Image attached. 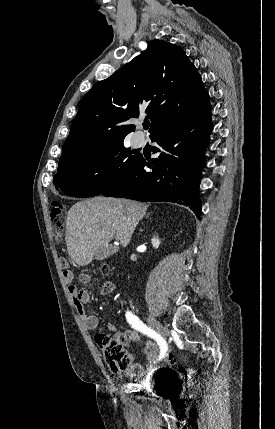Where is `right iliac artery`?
Instances as JSON below:
<instances>
[{"mask_svg":"<svg viewBox=\"0 0 275 429\" xmlns=\"http://www.w3.org/2000/svg\"><path fill=\"white\" fill-rule=\"evenodd\" d=\"M126 318L129 324L134 329L146 334L147 336L151 337L158 343L160 347L159 360L164 358L167 352V344H166V341L163 339V337H161V335H159L156 331H154L150 327H147L138 317L133 315L130 311L126 312Z\"/></svg>","mask_w":275,"mask_h":429,"instance_id":"1","label":"right iliac artery"}]
</instances>
